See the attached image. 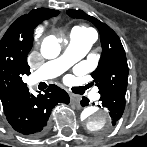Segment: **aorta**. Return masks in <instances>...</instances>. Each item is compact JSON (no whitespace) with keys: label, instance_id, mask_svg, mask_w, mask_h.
Wrapping results in <instances>:
<instances>
[{"label":"aorta","instance_id":"obj_1","mask_svg":"<svg viewBox=\"0 0 147 147\" xmlns=\"http://www.w3.org/2000/svg\"><path fill=\"white\" fill-rule=\"evenodd\" d=\"M61 46L54 36L46 37L41 44V54L46 59H54L59 56ZM81 120L90 131H102L111 124V119L107 111L96 107H86L81 113Z\"/></svg>","mask_w":147,"mask_h":147}]
</instances>
